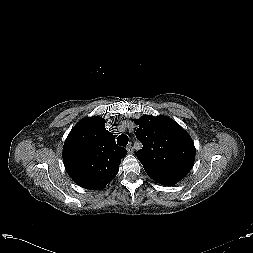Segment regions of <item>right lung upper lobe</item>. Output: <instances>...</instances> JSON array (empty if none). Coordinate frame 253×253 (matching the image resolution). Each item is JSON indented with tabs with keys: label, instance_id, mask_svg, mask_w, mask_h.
Wrapping results in <instances>:
<instances>
[{
	"label": "right lung upper lobe",
	"instance_id": "right-lung-upper-lobe-1",
	"mask_svg": "<svg viewBox=\"0 0 253 253\" xmlns=\"http://www.w3.org/2000/svg\"><path fill=\"white\" fill-rule=\"evenodd\" d=\"M126 149L116 145L99 116L82 119L63 147L65 168L75 183L90 190L104 189L118 173Z\"/></svg>",
	"mask_w": 253,
	"mask_h": 253
}]
</instances>
